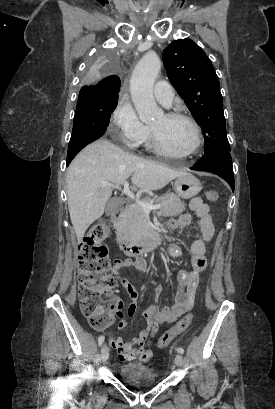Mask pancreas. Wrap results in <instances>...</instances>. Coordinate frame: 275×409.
Here are the masks:
<instances>
[{
    "instance_id": "1",
    "label": "pancreas",
    "mask_w": 275,
    "mask_h": 409,
    "mask_svg": "<svg viewBox=\"0 0 275 409\" xmlns=\"http://www.w3.org/2000/svg\"><path fill=\"white\" fill-rule=\"evenodd\" d=\"M143 202H156V205H161L159 213L163 217H175V215H181L185 211L182 200L174 192H166L163 196H154V198L145 196ZM114 227L117 237H121L130 245H136L138 241L145 239L148 233L152 231L141 205L126 207L122 217H120L118 223H115Z\"/></svg>"
}]
</instances>
